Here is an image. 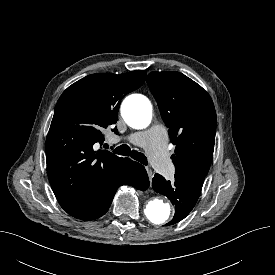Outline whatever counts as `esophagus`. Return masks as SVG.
<instances>
[{
	"label": "esophagus",
	"mask_w": 275,
	"mask_h": 275,
	"mask_svg": "<svg viewBox=\"0 0 275 275\" xmlns=\"http://www.w3.org/2000/svg\"><path fill=\"white\" fill-rule=\"evenodd\" d=\"M146 171L149 176V179L151 180L153 178V171L149 167H146Z\"/></svg>",
	"instance_id": "esophagus-1"
}]
</instances>
